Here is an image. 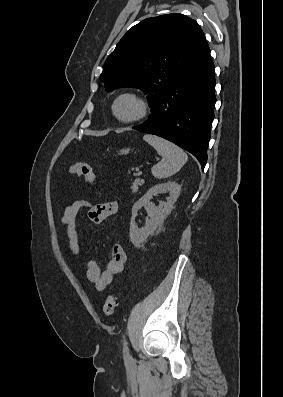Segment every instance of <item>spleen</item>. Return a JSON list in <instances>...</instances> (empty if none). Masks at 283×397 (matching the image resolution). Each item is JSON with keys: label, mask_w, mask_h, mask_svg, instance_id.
Segmentation results:
<instances>
[{"label": "spleen", "mask_w": 283, "mask_h": 397, "mask_svg": "<svg viewBox=\"0 0 283 397\" xmlns=\"http://www.w3.org/2000/svg\"><path fill=\"white\" fill-rule=\"evenodd\" d=\"M143 139L162 156V160L151 169L153 176L157 179L174 175L188 160L187 154L180 147L161 137L145 135Z\"/></svg>", "instance_id": "1"}]
</instances>
